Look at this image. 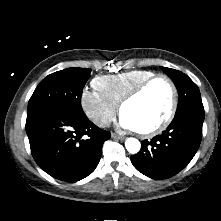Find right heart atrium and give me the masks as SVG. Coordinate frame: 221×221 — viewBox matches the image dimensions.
<instances>
[{
  "label": "right heart atrium",
  "instance_id": "right-heart-atrium-1",
  "mask_svg": "<svg viewBox=\"0 0 221 221\" xmlns=\"http://www.w3.org/2000/svg\"><path fill=\"white\" fill-rule=\"evenodd\" d=\"M81 106L86 116L99 127L107 126L117 111V105L97 90L85 89L81 94Z\"/></svg>",
  "mask_w": 221,
  "mask_h": 221
}]
</instances>
